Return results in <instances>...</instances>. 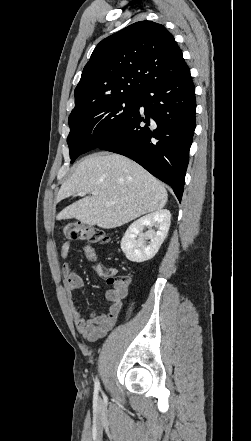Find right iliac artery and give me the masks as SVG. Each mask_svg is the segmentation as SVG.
<instances>
[{
  "label": "right iliac artery",
  "mask_w": 251,
  "mask_h": 441,
  "mask_svg": "<svg viewBox=\"0 0 251 441\" xmlns=\"http://www.w3.org/2000/svg\"><path fill=\"white\" fill-rule=\"evenodd\" d=\"M94 387H95V392H98V390L100 389V383L97 378L95 379Z\"/></svg>",
  "instance_id": "obj_1"
}]
</instances>
